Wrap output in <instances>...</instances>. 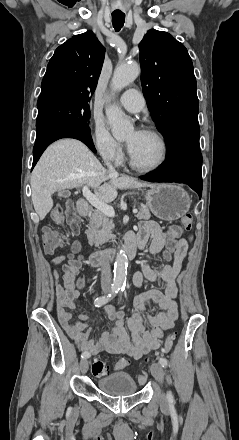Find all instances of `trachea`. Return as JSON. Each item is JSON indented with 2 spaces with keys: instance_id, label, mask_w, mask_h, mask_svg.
<instances>
[{
  "instance_id": "obj_1",
  "label": "trachea",
  "mask_w": 239,
  "mask_h": 440,
  "mask_svg": "<svg viewBox=\"0 0 239 440\" xmlns=\"http://www.w3.org/2000/svg\"><path fill=\"white\" fill-rule=\"evenodd\" d=\"M124 22H125V13L122 12L112 13V23L116 32H119V30L123 27Z\"/></svg>"
}]
</instances>
